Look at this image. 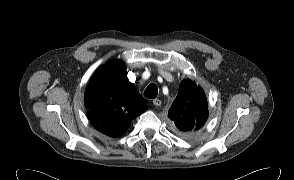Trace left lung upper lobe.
I'll list each match as a JSON object with an SVG mask.
<instances>
[{"instance_id": "obj_1", "label": "left lung upper lobe", "mask_w": 294, "mask_h": 180, "mask_svg": "<svg viewBox=\"0 0 294 180\" xmlns=\"http://www.w3.org/2000/svg\"><path fill=\"white\" fill-rule=\"evenodd\" d=\"M168 115L182 132H192L201 128L208 117L203 89L189 79L182 81Z\"/></svg>"}]
</instances>
